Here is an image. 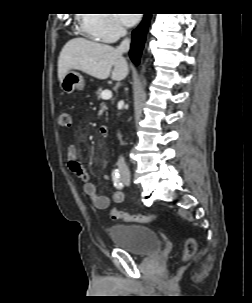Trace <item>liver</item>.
I'll return each mask as SVG.
<instances>
[{"mask_svg":"<svg viewBox=\"0 0 252 303\" xmlns=\"http://www.w3.org/2000/svg\"><path fill=\"white\" fill-rule=\"evenodd\" d=\"M70 70H79L97 79H107L111 74L114 81L125 79L129 73L126 59L116 48L85 38L69 40L60 52L59 81Z\"/></svg>","mask_w":252,"mask_h":303,"instance_id":"6515ba94","label":"liver"}]
</instances>
